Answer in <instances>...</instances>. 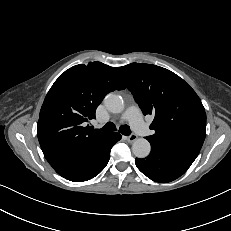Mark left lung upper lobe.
I'll list each match as a JSON object with an SVG mask.
<instances>
[{
  "label": "left lung upper lobe",
  "instance_id": "1",
  "mask_svg": "<svg viewBox=\"0 0 231 231\" xmlns=\"http://www.w3.org/2000/svg\"><path fill=\"white\" fill-rule=\"evenodd\" d=\"M120 78L133 94L144 115H153L146 137L150 143L185 146L200 151L206 129V113L195 91L165 68L131 63L118 68Z\"/></svg>",
  "mask_w": 231,
  "mask_h": 231
}]
</instances>
